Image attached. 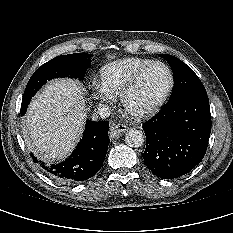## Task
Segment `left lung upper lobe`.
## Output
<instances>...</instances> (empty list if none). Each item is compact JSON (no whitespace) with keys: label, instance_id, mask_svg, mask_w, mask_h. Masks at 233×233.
I'll return each mask as SVG.
<instances>
[{"label":"left lung upper lobe","instance_id":"5c2ea615","mask_svg":"<svg viewBox=\"0 0 233 233\" xmlns=\"http://www.w3.org/2000/svg\"><path fill=\"white\" fill-rule=\"evenodd\" d=\"M159 56L169 63L174 74V87L169 100L188 95H207L198 76L184 62L168 54H159Z\"/></svg>","mask_w":233,"mask_h":233}]
</instances>
